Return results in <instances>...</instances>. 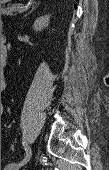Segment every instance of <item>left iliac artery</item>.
Here are the masks:
<instances>
[{"label":"left iliac artery","instance_id":"left-iliac-artery-1","mask_svg":"<svg viewBox=\"0 0 109 170\" xmlns=\"http://www.w3.org/2000/svg\"><path fill=\"white\" fill-rule=\"evenodd\" d=\"M22 143H23V146H24L25 151H26V154H25L23 161H29L31 154H32L31 148L25 142H22Z\"/></svg>","mask_w":109,"mask_h":170}]
</instances>
